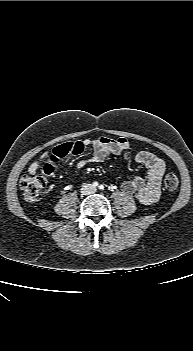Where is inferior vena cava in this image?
<instances>
[{
  "label": "inferior vena cava",
  "mask_w": 193,
  "mask_h": 351,
  "mask_svg": "<svg viewBox=\"0 0 193 351\" xmlns=\"http://www.w3.org/2000/svg\"><path fill=\"white\" fill-rule=\"evenodd\" d=\"M96 191L95 187H93L92 184H83L82 188H81V193L83 195H89L92 194Z\"/></svg>",
  "instance_id": "inferior-vena-cava-1"
}]
</instances>
